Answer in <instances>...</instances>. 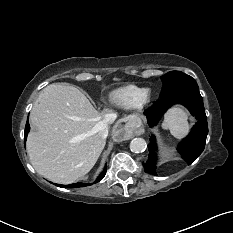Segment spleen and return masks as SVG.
<instances>
[{"label":"spleen","mask_w":233,"mask_h":233,"mask_svg":"<svg viewBox=\"0 0 233 233\" xmlns=\"http://www.w3.org/2000/svg\"><path fill=\"white\" fill-rule=\"evenodd\" d=\"M163 129H168L175 138H183L189 131L187 114L178 107H174L165 115Z\"/></svg>","instance_id":"1"}]
</instances>
